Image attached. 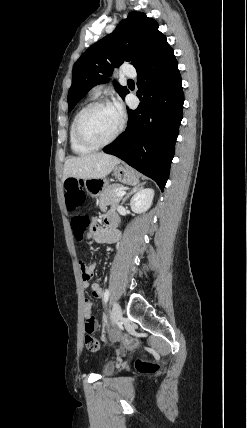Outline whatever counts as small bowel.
I'll return each mask as SVG.
<instances>
[{
	"label": "small bowel",
	"instance_id": "1",
	"mask_svg": "<svg viewBox=\"0 0 247 428\" xmlns=\"http://www.w3.org/2000/svg\"><path fill=\"white\" fill-rule=\"evenodd\" d=\"M103 226L96 227L91 231L90 237L96 242H113L119 238V233L115 229V219L112 214H106L102 218ZM97 264L92 263L90 265L81 264V276L82 284L84 288L90 287L92 290V295L95 298H100L102 296V288L98 283L91 282L92 275L96 269ZM90 300V299H85ZM97 307V305H96ZM95 308V307H94ZM93 308L87 307L84 304V318L90 317L92 320L96 319L92 313Z\"/></svg>",
	"mask_w": 247,
	"mask_h": 428
}]
</instances>
